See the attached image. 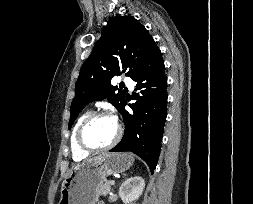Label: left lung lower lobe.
<instances>
[{
	"mask_svg": "<svg viewBox=\"0 0 253 204\" xmlns=\"http://www.w3.org/2000/svg\"><path fill=\"white\" fill-rule=\"evenodd\" d=\"M136 84L133 113L125 110L126 100L120 109L125 123L121 142L111 152L131 151L140 156L150 167L157 165L164 124L167 116V78L160 49L155 44L138 74L132 78Z\"/></svg>",
	"mask_w": 253,
	"mask_h": 204,
	"instance_id": "1",
	"label": "left lung lower lobe"
}]
</instances>
